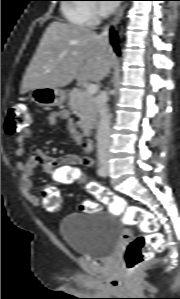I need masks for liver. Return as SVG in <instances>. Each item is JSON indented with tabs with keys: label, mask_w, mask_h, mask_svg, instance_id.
<instances>
[{
	"label": "liver",
	"mask_w": 180,
	"mask_h": 299,
	"mask_svg": "<svg viewBox=\"0 0 180 299\" xmlns=\"http://www.w3.org/2000/svg\"><path fill=\"white\" fill-rule=\"evenodd\" d=\"M115 55L108 40L94 31L52 22L23 77L20 94L41 87L59 88L70 84L99 82L110 69Z\"/></svg>",
	"instance_id": "1"
}]
</instances>
